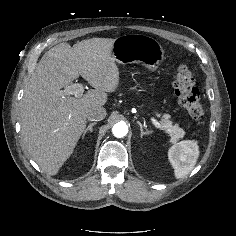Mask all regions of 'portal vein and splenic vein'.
Listing matches in <instances>:
<instances>
[{"label": "portal vein and splenic vein", "mask_w": 236, "mask_h": 236, "mask_svg": "<svg viewBox=\"0 0 236 236\" xmlns=\"http://www.w3.org/2000/svg\"><path fill=\"white\" fill-rule=\"evenodd\" d=\"M83 92H84V86L82 84L80 83L71 84L63 90L62 97L65 98V96L74 95L76 98H80L82 97ZM152 122L155 125V127L159 129L162 128L161 124L156 119L152 118Z\"/></svg>", "instance_id": "portal-vein-and-splenic-vein-1"}]
</instances>
